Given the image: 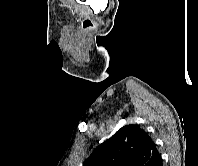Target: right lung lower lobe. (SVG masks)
Instances as JSON below:
<instances>
[{"label": "right lung lower lobe", "mask_w": 198, "mask_h": 166, "mask_svg": "<svg viewBox=\"0 0 198 166\" xmlns=\"http://www.w3.org/2000/svg\"><path fill=\"white\" fill-rule=\"evenodd\" d=\"M149 166H162V158L161 155L157 156Z\"/></svg>", "instance_id": "98d812e1"}]
</instances>
